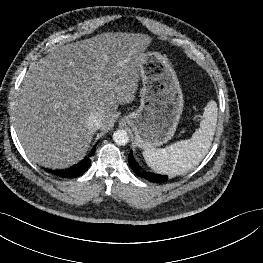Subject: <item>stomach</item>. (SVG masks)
I'll use <instances>...</instances> for the list:
<instances>
[{"label": "stomach", "instance_id": "stomach-1", "mask_svg": "<svg viewBox=\"0 0 263 263\" xmlns=\"http://www.w3.org/2000/svg\"><path fill=\"white\" fill-rule=\"evenodd\" d=\"M141 104L126 117L139 148L159 146L175 134L183 111V93L169 59L146 51L140 66Z\"/></svg>", "mask_w": 263, "mask_h": 263}]
</instances>
